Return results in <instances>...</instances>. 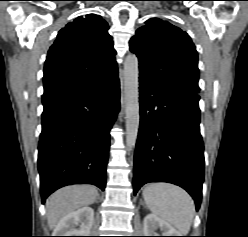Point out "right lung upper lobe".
Masks as SVG:
<instances>
[{"instance_id":"obj_1","label":"right lung upper lobe","mask_w":248,"mask_h":237,"mask_svg":"<svg viewBox=\"0 0 248 237\" xmlns=\"http://www.w3.org/2000/svg\"><path fill=\"white\" fill-rule=\"evenodd\" d=\"M108 29L100 16L89 14L59 31L45 61L44 94L81 86L117 70Z\"/></svg>"}]
</instances>
